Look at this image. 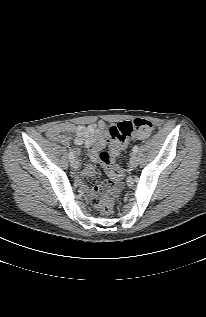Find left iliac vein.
<instances>
[{
  "label": "left iliac vein",
  "mask_w": 206,
  "mask_h": 317,
  "mask_svg": "<svg viewBox=\"0 0 206 317\" xmlns=\"http://www.w3.org/2000/svg\"><path fill=\"white\" fill-rule=\"evenodd\" d=\"M137 165H138V157L134 153V154H132V156L130 158L129 166H130V168H135Z\"/></svg>",
  "instance_id": "left-iliac-vein-1"
}]
</instances>
